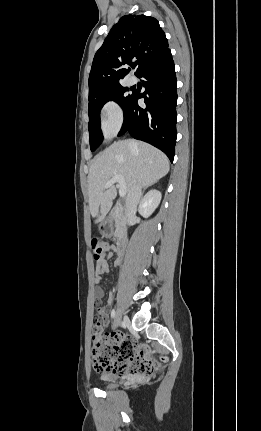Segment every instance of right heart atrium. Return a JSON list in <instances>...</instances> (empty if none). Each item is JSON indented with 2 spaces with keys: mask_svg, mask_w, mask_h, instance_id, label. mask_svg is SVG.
I'll return each instance as SVG.
<instances>
[{
  "mask_svg": "<svg viewBox=\"0 0 261 431\" xmlns=\"http://www.w3.org/2000/svg\"><path fill=\"white\" fill-rule=\"evenodd\" d=\"M123 122V111L120 105L110 100L101 108V125L107 136L115 135Z\"/></svg>",
  "mask_w": 261,
  "mask_h": 431,
  "instance_id": "right-heart-atrium-1",
  "label": "right heart atrium"
}]
</instances>
